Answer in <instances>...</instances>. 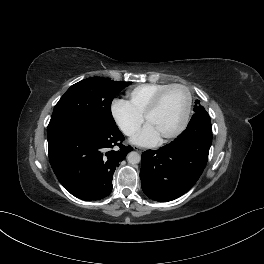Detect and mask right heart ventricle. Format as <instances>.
Masks as SVG:
<instances>
[{"label":"right heart ventricle","mask_w":264,"mask_h":264,"mask_svg":"<svg viewBox=\"0 0 264 264\" xmlns=\"http://www.w3.org/2000/svg\"><path fill=\"white\" fill-rule=\"evenodd\" d=\"M168 85L170 84L149 83L133 87L127 91L128 103L143 116L156 94Z\"/></svg>","instance_id":"obj_1"}]
</instances>
